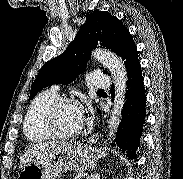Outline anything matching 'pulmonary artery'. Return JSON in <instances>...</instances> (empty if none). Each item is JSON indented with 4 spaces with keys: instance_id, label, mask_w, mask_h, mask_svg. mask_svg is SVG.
<instances>
[{
    "instance_id": "1",
    "label": "pulmonary artery",
    "mask_w": 183,
    "mask_h": 179,
    "mask_svg": "<svg viewBox=\"0 0 183 179\" xmlns=\"http://www.w3.org/2000/svg\"><path fill=\"white\" fill-rule=\"evenodd\" d=\"M92 84L97 88H106L110 84V80L108 76L100 73V72H94L92 74ZM57 90V89H55Z\"/></svg>"
}]
</instances>
